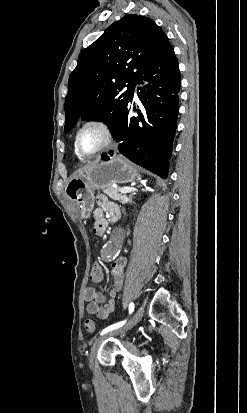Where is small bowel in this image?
<instances>
[{"mask_svg": "<svg viewBox=\"0 0 247 413\" xmlns=\"http://www.w3.org/2000/svg\"><path fill=\"white\" fill-rule=\"evenodd\" d=\"M96 203L97 207L93 211V229L96 233L101 234L105 231L109 222H115L120 218L121 212L118 204L110 200L104 194L97 196ZM126 265V257H120L112 264L111 275L113 284L110 291L111 299L108 302L102 304L104 301V294L97 289L90 287L85 289L84 299L88 302L87 312L89 314L96 315L102 320L109 318L116 307L115 297L123 287Z\"/></svg>", "mask_w": 247, "mask_h": 413, "instance_id": "1", "label": "small bowel"}]
</instances>
